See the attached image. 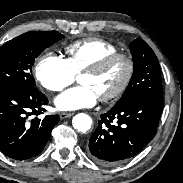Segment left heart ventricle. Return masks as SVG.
I'll use <instances>...</instances> for the list:
<instances>
[{"instance_id": "left-heart-ventricle-1", "label": "left heart ventricle", "mask_w": 183, "mask_h": 183, "mask_svg": "<svg viewBox=\"0 0 183 183\" xmlns=\"http://www.w3.org/2000/svg\"><path fill=\"white\" fill-rule=\"evenodd\" d=\"M125 73L126 64L124 61L119 60L99 74H82L79 77V83L91 87L100 97L117 88L122 82Z\"/></svg>"}]
</instances>
